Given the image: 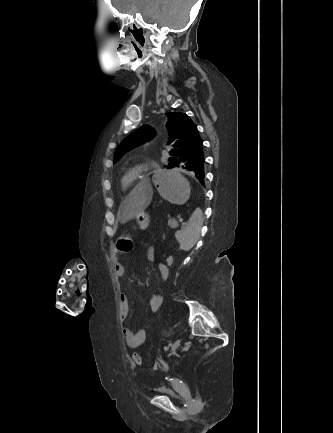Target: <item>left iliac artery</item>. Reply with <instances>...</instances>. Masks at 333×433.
Returning a JSON list of instances; mask_svg holds the SVG:
<instances>
[{"mask_svg":"<svg viewBox=\"0 0 333 433\" xmlns=\"http://www.w3.org/2000/svg\"><path fill=\"white\" fill-rule=\"evenodd\" d=\"M172 346V343L170 342L169 344H168V347H171ZM165 349H167V347H165Z\"/></svg>","mask_w":333,"mask_h":433,"instance_id":"1","label":"left iliac artery"}]
</instances>
